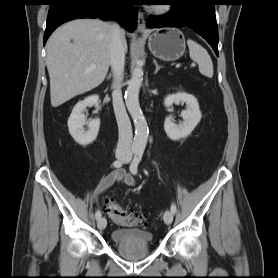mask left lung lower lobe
Listing matches in <instances>:
<instances>
[{
  "label": "left lung lower lobe",
  "instance_id": "0a47b994",
  "mask_svg": "<svg viewBox=\"0 0 278 278\" xmlns=\"http://www.w3.org/2000/svg\"><path fill=\"white\" fill-rule=\"evenodd\" d=\"M171 11L162 16H150L149 27H187L199 33L218 56V28L215 16L216 0H169Z\"/></svg>",
  "mask_w": 278,
  "mask_h": 278
}]
</instances>
